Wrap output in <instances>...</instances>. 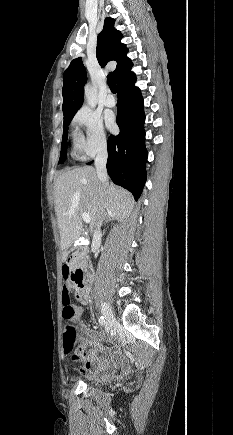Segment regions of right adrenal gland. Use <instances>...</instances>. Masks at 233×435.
Returning <instances> with one entry per match:
<instances>
[{
  "label": "right adrenal gland",
  "instance_id": "1",
  "mask_svg": "<svg viewBox=\"0 0 233 435\" xmlns=\"http://www.w3.org/2000/svg\"><path fill=\"white\" fill-rule=\"evenodd\" d=\"M111 220V218H109L107 221H110Z\"/></svg>",
  "mask_w": 233,
  "mask_h": 435
}]
</instances>
